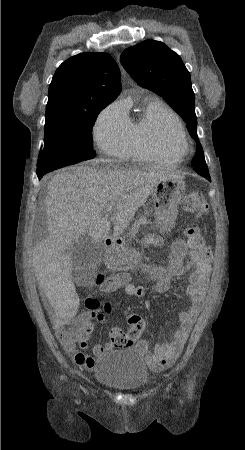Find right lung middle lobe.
<instances>
[{"mask_svg":"<svg viewBox=\"0 0 245 450\" xmlns=\"http://www.w3.org/2000/svg\"><path fill=\"white\" fill-rule=\"evenodd\" d=\"M108 104L89 111L51 110L46 112L44 149L37 172H50L96 156L92 147V125Z\"/></svg>","mask_w":245,"mask_h":450,"instance_id":"obj_1","label":"right lung middle lobe"}]
</instances>
